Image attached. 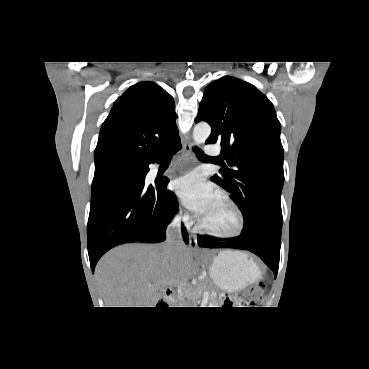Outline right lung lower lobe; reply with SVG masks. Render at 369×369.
Wrapping results in <instances>:
<instances>
[{"label": "right lung lower lobe", "instance_id": "right-lung-lower-lobe-1", "mask_svg": "<svg viewBox=\"0 0 369 369\" xmlns=\"http://www.w3.org/2000/svg\"><path fill=\"white\" fill-rule=\"evenodd\" d=\"M180 149L178 141L158 158L135 163L92 190L87 236L93 272L99 258L117 245L165 239V229L177 212V197L166 189V177L147 185L145 176L150 163L160 162ZM182 235L187 244L184 226Z\"/></svg>", "mask_w": 369, "mask_h": 369}]
</instances>
